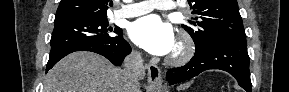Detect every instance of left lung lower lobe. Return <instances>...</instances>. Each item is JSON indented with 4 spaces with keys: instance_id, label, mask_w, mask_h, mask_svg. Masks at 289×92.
I'll list each match as a JSON object with an SVG mask.
<instances>
[{
    "instance_id": "0a47b994",
    "label": "left lung lower lobe",
    "mask_w": 289,
    "mask_h": 92,
    "mask_svg": "<svg viewBox=\"0 0 289 92\" xmlns=\"http://www.w3.org/2000/svg\"><path fill=\"white\" fill-rule=\"evenodd\" d=\"M208 69L227 71L239 85L251 92L249 56L245 39L223 38L214 41L205 49L195 51L185 66L169 69L167 80L170 85L188 80Z\"/></svg>"
}]
</instances>
